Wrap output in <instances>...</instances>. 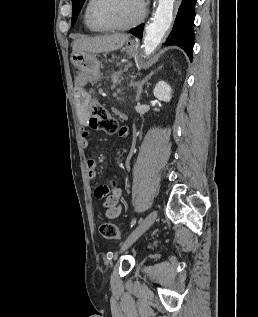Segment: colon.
<instances>
[{
    "label": "colon",
    "instance_id": "1",
    "mask_svg": "<svg viewBox=\"0 0 258 317\" xmlns=\"http://www.w3.org/2000/svg\"><path fill=\"white\" fill-rule=\"evenodd\" d=\"M89 112V126L92 129L114 133L118 130L117 120L112 117L109 111L103 107L96 99L90 98L87 103ZM101 235L108 240H118L121 238V231L117 225L104 222L100 225Z\"/></svg>",
    "mask_w": 258,
    "mask_h": 317
}]
</instances>
